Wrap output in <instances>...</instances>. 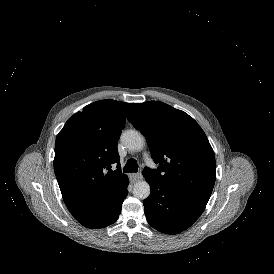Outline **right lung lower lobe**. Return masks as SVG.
Here are the masks:
<instances>
[{
	"instance_id": "right-lung-lower-lobe-1",
	"label": "right lung lower lobe",
	"mask_w": 274,
	"mask_h": 274,
	"mask_svg": "<svg viewBox=\"0 0 274 274\" xmlns=\"http://www.w3.org/2000/svg\"><path fill=\"white\" fill-rule=\"evenodd\" d=\"M128 184L129 180L112 195L98 217L81 220L79 222L83 226L93 229L103 228L114 223L119 217L122 203L128 194Z\"/></svg>"
}]
</instances>
